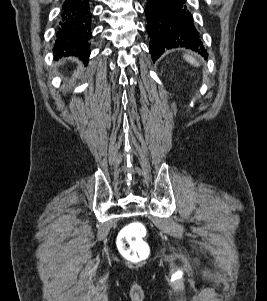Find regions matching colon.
<instances>
[{"label":"colon","instance_id":"obj_1","mask_svg":"<svg viewBox=\"0 0 267 301\" xmlns=\"http://www.w3.org/2000/svg\"><path fill=\"white\" fill-rule=\"evenodd\" d=\"M146 228L143 223L134 221L125 226L118 238L121 254L129 261L141 262L148 258L150 250L145 242Z\"/></svg>","mask_w":267,"mask_h":301}]
</instances>
